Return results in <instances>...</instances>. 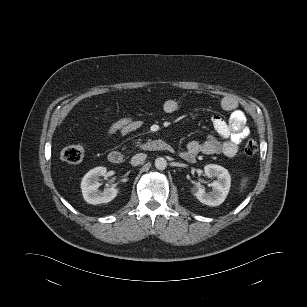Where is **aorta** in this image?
Masks as SVG:
<instances>
[{"label": "aorta", "mask_w": 307, "mask_h": 307, "mask_svg": "<svg viewBox=\"0 0 307 307\" xmlns=\"http://www.w3.org/2000/svg\"><path fill=\"white\" fill-rule=\"evenodd\" d=\"M155 167L158 170H164L167 167V160L163 157H158L155 160Z\"/></svg>", "instance_id": "1"}]
</instances>
